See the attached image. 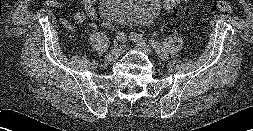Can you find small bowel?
Listing matches in <instances>:
<instances>
[{
	"label": "small bowel",
	"mask_w": 253,
	"mask_h": 131,
	"mask_svg": "<svg viewBox=\"0 0 253 131\" xmlns=\"http://www.w3.org/2000/svg\"><path fill=\"white\" fill-rule=\"evenodd\" d=\"M95 2L96 0H82V3L84 5L83 11H78L73 14V19L76 23H83L87 19L94 20L96 18V8H95ZM55 7H60L61 3L54 2L52 3ZM92 27H95L94 23H90Z\"/></svg>",
	"instance_id": "c3829d8e"
}]
</instances>
